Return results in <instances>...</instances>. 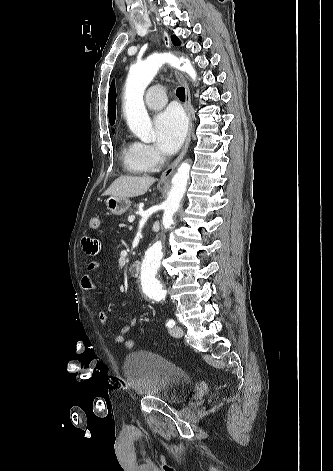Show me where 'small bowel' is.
Instances as JSON below:
<instances>
[{"label": "small bowel", "instance_id": "c3829d8e", "mask_svg": "<svg viewBox=\"0 0 333 471\" xmlns=\"http://www.w3.org/2000/svg\"><path fill=\"white\" fill-rule=\"evenodd\" d=\"M84 250L93 255L97 252L98 244L95 239L86 237L83 239ZM100 269V264L97 261H90L86 266V271L81 277V285L85 291L92 293L95 290L94 275ZM98 319L101 325L106 326L108 324V317L105 311L98 310ZM138 324V318L132 317L128 325L122 326L119 333L114 337L116 343H124L125 335Z\"/></svg>", "mask_w": 333, "mask_h": 471}]
</instances>
